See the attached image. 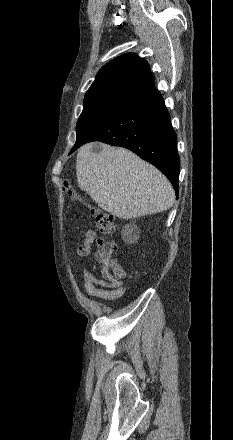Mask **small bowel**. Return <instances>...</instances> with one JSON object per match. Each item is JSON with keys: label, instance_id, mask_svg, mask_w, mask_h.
I'll use <instances>...</instances> for the list:
<instances>
[{"label": "small bowel", "instance_id": "c3829d8e", "mask_svg": "<svg viewBox=\"0 0 233 440\" xmlns=\"http://www.w3.org/2000/svg\"><path fill=\"white\" fill-rule=\"evenodd\" d=\"M95 240L96 233L93 230H87L84 234L83 242L76 248L78 256H88ZM82 274L85 291L91 296L108 301H115L121 298L126 291V287L122 282H119L116 286H112L108 279H98L87 268L82 269Z\"/></svg>", "mask_w": 233, "mask_h": 440}]
</instances>
